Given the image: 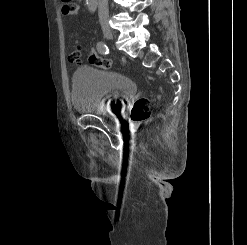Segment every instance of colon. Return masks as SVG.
I'll return each mask as SVG.
<instances>
[{"mask_svg": "<svg viewBox=\"0 0 247 245\" xmlns=\"http://www.w3.org/2000/svg\"><path fill=\"white\" fill-rule=\"evenodd\" d=\"M62 4H63L62 12L64 14L69 16H75L77 14L78 7L71 0H62ZM69 61L73 65H77L80 62V55L78 50L70 55ZM89 63L95 67L103 68V69H108L112 66L111 60L97 56L93 53L89 55ZM150 115H151V103L146 98L138 99L134 103L130 113L131 119L134 122L145 121L150 117Z\"/></svg>", "mask_w": 247, "mask_h": 245, "instance_id": "obj_1", "label": "colon"}]
</instances>
